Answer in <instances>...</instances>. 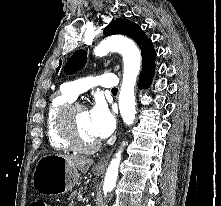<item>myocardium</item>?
<instances>
[{
	"label": "myocardium",
	"mask_w": 221,
	"mask_h": 206,
	"mask_svg": "<svg viewBox=\"0 0 221 206\" xmlns=\"http://www.w3.org/2000/svg\"><path fill=\"white\" fill-rule=\"evenodd\" d=\"M77 110L86 111V108L77 102H72L64 106L59 114V128L64 138L75 151L81 153L94 152L99 148L100 142L96 140L92 143L86 144L81 140L74 119V113Z\"/></svg>",
	"instance_id": "f54148a6"
}]
</instances>
